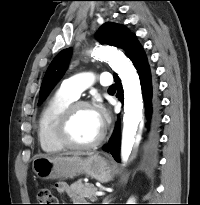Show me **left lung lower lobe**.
Wrapping results in <instances>:
<instances>
[{
	"instance_id": "1",
	"label": "left lung lower lobe",
	"mask_w": 200,
	"mask_h": 205,
	"mask_svg": "<svg viewBox=\"0 0 200 205\" xmlns=\"http://www.w3.org/2000/svg\"><path fill=\"white\" fill-rule=\"evenodd\" d=\"M126 54L133 62L140 77V83L142 87L143 97L145 101L146 116H147V132L145 138V158L148 163H154L157 155L158 148V128L160 125V102L158 99V91L156 84L154 83L148 65L147 57L138 43L136 36L134 35L126 49ZM114 79L118 87L117 97L123 101V90L121 82L116 74ZM104 150L109 151L116 161H120V121L118 120L112 137L110 138L108 145L104 146Z\"/></svg>"
}]
</instances>
